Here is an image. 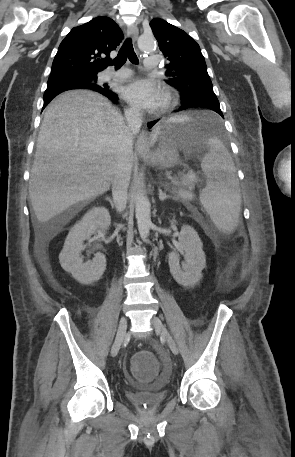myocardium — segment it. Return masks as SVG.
I'll list each match as a JSON object with an SVG mask.
<instances>
[{
	"label": "myocardium",
	"instance_id": "myocardium-1",
	"mask_svg": "<svg viewBox=\"0 0 295 457\" xmlns=\"http://www.w3.org/2000/svg\"><path fill=\"white\" fill-rule=\"evenodd\" d=\"M177 104V95L170 89L166 88L164 91V102L160 108V112H166L172 109Z\"/></svg>",
	"mask_w": 295,
	"mask_h": 457
}]
</instances>
